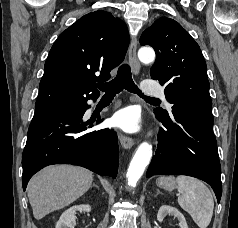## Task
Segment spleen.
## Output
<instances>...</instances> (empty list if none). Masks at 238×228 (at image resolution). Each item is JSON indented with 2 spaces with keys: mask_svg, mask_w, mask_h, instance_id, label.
Instances as JSON below:
<instances>
[{
  "mask_svg": "<svg viewBox=\"0 0 238 228\" xmlns=\"http://www.w3.org/2000/svg\"><path fill=\"white\" fill-rule=\"evenodd\" d=\"M176 182L180 207L191 215L200 228H207L214 209L210 189L199 179L190 176L180 175L176 178Z\"/></svg>",
  "mask_w": 238,
  "mask_h": 228,
  "instance_id": "3e777b00",
  "label": "spleen"
}]
</instances>
